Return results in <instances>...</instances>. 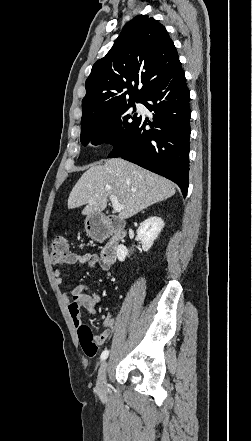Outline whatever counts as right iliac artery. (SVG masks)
<instances>
[{
  "label": "right iliac artery",
  "instance_id": "right-iliac-artery-1",
  "mask_svg": "<svg viewBox=\"0 0 252 441\" xmlns=\"http://www.w3.org/2000/svg\"><path fill=\"white\" fill-rule=\"evenodd\" d=\"M109 355V351L108 350H104L101 354V360H105Z\"/></svg>",
  "mask_w": 252,
  "mask_h": 441
}]
</instances>
